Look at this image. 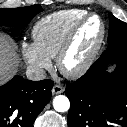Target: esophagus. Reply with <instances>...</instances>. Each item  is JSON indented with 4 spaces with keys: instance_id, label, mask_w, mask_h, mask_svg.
I'll return each instance as SVG.
<instances>
[{
    "instance_id": "1",
    "label": "esophagus",
    "mask_w": 127,
    "mask_h": 127,
    "mask_svg": "<svg viewBox=\"0 0 127 127\" xmlns=\"http://www.w3.org/2000/svg\"><path fill=\"white\" fill-rule=\"evenodd\" d=\"M63 91H64V88L60 85H54L52 88L53 95L61 94Z\"/></svg>"
}]
</instances>
